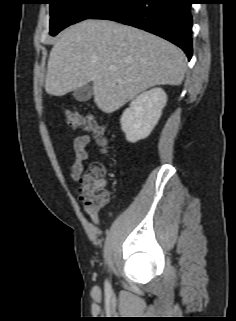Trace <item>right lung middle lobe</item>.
Masks as SVG:
<instances>
[{
  "instance_id": "obj_1",
  "label": "right lung middle lobe",
  "mask_w": 236,
  "mask_h": 321,
  "mask_svg": "<svg viewBox=\"0 0 236 321\" xmlns=\"http://www.w3.org/2000/svg\"><path fill=\"white\" fill-rule=\"evenodd\" d=\"M110 0H49L50 4V35L55 36L58 32L69 25L88 19Z\"/></svg>"
}]
</instances>
